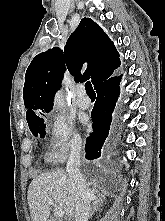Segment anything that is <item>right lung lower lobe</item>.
<instances>
[{
	"mask_svg": "<svg viewBox=\"0 0 165 221\" xmlns=\"http://www.w3.org/2000/svg\"><path fill=\"white\" fill-rule=\"evenodd\" d=\"M121 76H112L98 85L97 100L92 110L93 132L87 138L86 159L93 160L101 156L105 142L115 139L117 133L111 126L112 113L119 96Z\"/></svg>",
	"mask_w": 165,
	"mask_h": 221,
	"instance_id": "1",
	"label": "right lung lower lobe"
}]
</instances>
